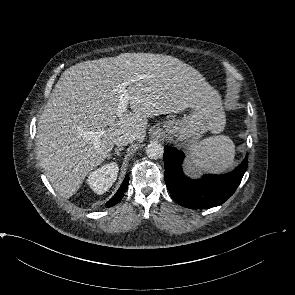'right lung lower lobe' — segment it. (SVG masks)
<instances>
[{
	"mask_svg": "<svg viewBox=\"0 0 295 295\" xmlns=\"http://www.w3.org/2000/svg\"><path fill=\"white\" fill-rule=\"evenodd\" d=\"M129 183V176H126L124 181L122 182V185L118 189L117 193L106 203V207L109 208L111 206H114L118 202L121 201V199L124 196V192L126 191Z\"/></svg>",
	"mask_w": 295,
	"mask_h": 295,
	"instance_id": "obj_1",
	"label": "right lung lower lobe"
}]
</instances>
